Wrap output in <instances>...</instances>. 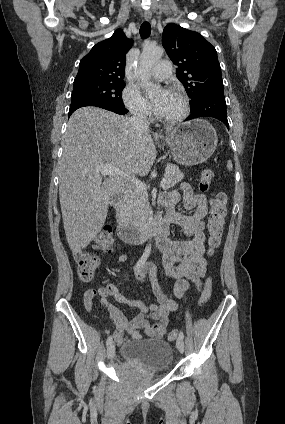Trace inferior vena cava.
<instances>
[{
  "mask_svg": "<svg viewBox=\"0 0 285 424\" xmlns=\"http://www.w3.org/2000/svg\"><path fill=\"white\" fill-rule=\"evenodd\" d=\"M130 122L137 132L147 131L149 128V122L146 115L140 111L134 112L133 116L130 118Z\"/></svg>",
  "mask_w": 285,
  "mask_h": 424,
  "instance_id": "602c4592",
  "label": "inferior vena cava"
}]
</instances>
